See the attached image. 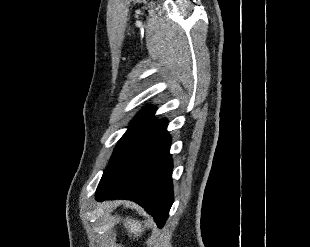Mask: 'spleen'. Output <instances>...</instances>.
Masks as SVG:
<instances>
[{"mask_svg":"<svg viewBox=\"0 0 310 247\" xmlns=\"http://www.w3.org/2000/svg\"><path fill=\"white\" fill-rule=\"evenodd\" d=\"M125 228H127L130 234H134L135 237H138L143 232L142 222H139L134 219L127 218L124 223Z\"/></svg>","mask_w":310,"mask_h":247,"instance_id":"spleen-1","label":"spleen"}]
</instances>
